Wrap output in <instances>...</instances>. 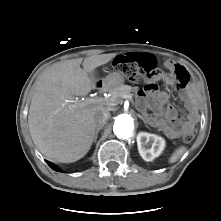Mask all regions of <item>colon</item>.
<instances>
[{
  "label": "colon",
  "instance_id": "5ec220e1",
  "mask_svg": "<svg viewBox=\"0 0 221 221\" xmlns=\"http://www.w3.org/2000/svg\"><path fill=\"white\" fill-rule=\"evenodd\" d=\"M116 69L121 72L131 82L146 81L148 88H153V81L159 77L156 59L150 54H141L135 59L129 55L119 56L116 59ZM171 83L178 90L187 87L188 82L185 80L170 79L166 81ZM195 128L191 127L184 131L182 138L185 142H190L195 137Z\"/></svg>",
  "mask_w": 221,
  "mask_h": 221
}]
</instances>
